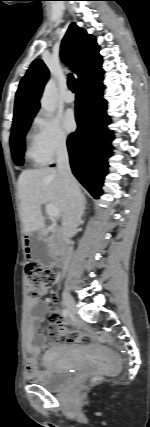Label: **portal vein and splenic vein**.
Segmentation results:
<instances>
[{
    "label": "portal vein and splenic vein",
    "mask_w": 150,
    "mask_h": 427,
    "mask_svg": "<svg viewBox=\"0 0 150 427\" xmlns=\"http://www.w3.org/2000/svg\"><path fill=\"white\" fill-rule=\"evenodd\" d=\"M46 213L48 214L49 217L51 218H56L59 216V210L57 207L47 204L46 205Z\"/></svg>",
    "instance_id": "18ae733b"
}]
</instances>
